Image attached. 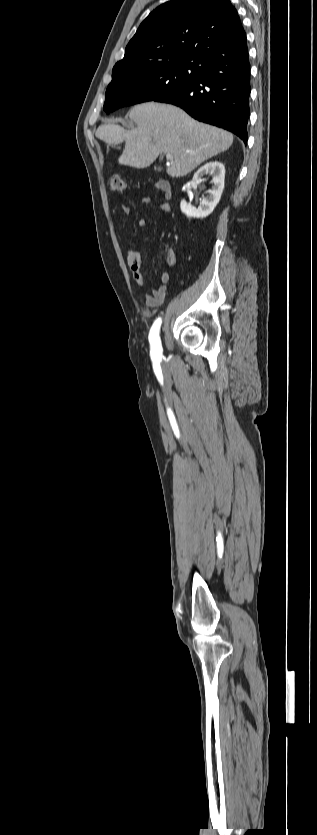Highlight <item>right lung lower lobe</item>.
I'll return each instance as SVG.
<instances>
[{
  "mask_svg": "<svg viewBox=\"0 0 317 835\" xmlns=\"http://www.w3.org/2000/svg\"><path fill=\"white\" fill-rule=\"evenodd\" d=\"M250 89L247 40L241 37L203 55L194 80L154 101L177 105L199 121L233 132L246 144Z\"/></svg>",
  "mask_w": 317,
  "mask_h": 835,
  "instance_id": "1",
  "label": "right lung lower lobe"
}]
</instances>
